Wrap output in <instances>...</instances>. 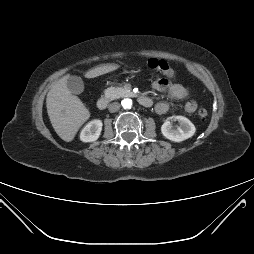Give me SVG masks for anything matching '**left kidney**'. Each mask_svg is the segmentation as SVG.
Segmentation results:
<instances>
[{
	"instance_id": "obj_1",
	"label": "left kidney",
	"mask_w": 254,
	"mask_h": 254,
	"mask_svg": "<svg viewBox=\"0 0 254 254\" xmlns=\"http://www.w3.org/2000/svg\"><path fill=\"white\" fill-rule=\"evenodd\" d=\"M172 120H177L179 126L174 128L170 122ZM195 131L194 124L184 116L169 117L161 126L163 136L174 142H181L192 137Z\"/></svg>"
}]
</instances>
